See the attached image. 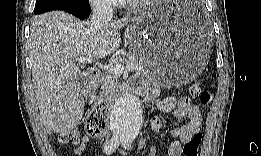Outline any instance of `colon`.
Segmentation results:
<instances>
[{
  "instance_id": "5ec220e1",
  "label": "colon",
  "mask_w": 261,
  "mask_h": 156,
  "mask_svg": "<svg viewBox=\"0 0 261 156\" xmlns=\"http://www.w3.org/2000/svg\"><path fill=\"white\" fill-rule=\"evenodd\" d=\"M189 92L193 97H199L202 104H208L212 95L208 91H203L200 82H195L190 86ZM86 132L92 137H101L108 131L107 108L100 106L91 111L85 122ZM58 140L63 144L78 145L81 140L78 131H64L58 136ZM202 141V134L195 133L189 141L184 144V156H198V151Z\"/></svg>"
}]
</instances>
